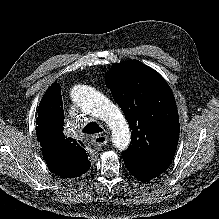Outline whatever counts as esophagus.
I'll use <instances>...</instances> for the list:
<instances>
[{"label": "esophagus", "instance_id": "obj_1", "mask_svg": "<svg viewBox=\"0 0 219 219\" xmlns=\"http://www.w3.org/2000/svg\"><path fill=\"white\" fill-rule=\"evenodd\" d=\"M108 142L107 135H96L92 140V145L94 148H101Z\"/></svg>", "mask_w": 219, "mask_h": 219}]
</instances>
